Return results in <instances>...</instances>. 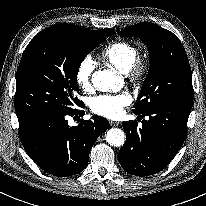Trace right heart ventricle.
I'll list each match as a JSON object with an SVG mask.
<instances>
[{
  "mask_svg": "<svg viewBox=\"0 0 206 206\" xmlns=\"http://www.w3.org/2000/svg\"><path fill=\"white\" fill-rule=\"evenodd\" d=\"M137 54V46L126 40L113 41L101 52L104 61L120 73L129 72Z\"/></svg>",
  "mask_w": 206,
  "mask_h": 206,
  "instance_id": "e07e8e85",
  "label": "right heart ventricle"
}]
</instances>
